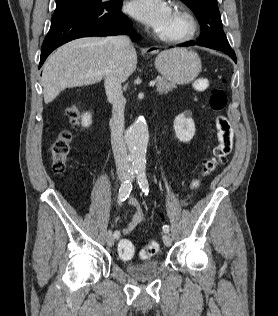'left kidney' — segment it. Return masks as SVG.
Instances as JSON below:
<instances>
[{"label":"left kidney","mask_w":278,"mask_h":316,"mask_svg":"<svg viewBox=\"0 0 278 316\" xmlns=\"http://www.w3.org/2000/svg\"><path fill=\"white\" fill-rule=\"evenodd\" d=\"M176 137L181 142H189L195 135V124L192 118L184 114L178 115L174 120Z\"/></svg>","instance_id":"5707ae66"}]
</instances>
